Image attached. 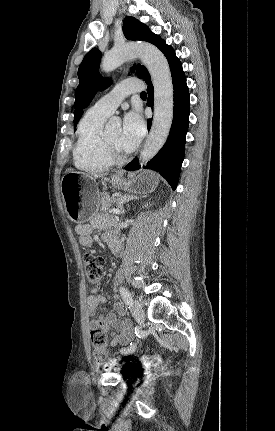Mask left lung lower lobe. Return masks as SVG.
Listing matches in <instances>:
<instances>
[{"label":"left lung lower lobe","mask_w":275,"mask_h":431,"mask_svg":"<svg viewBox=\"0 0 275 431\" xmlns=\"http://www.w3.org/2000/svg\"><path fill=\"white\" fill-rule=\"evenodd\" d=\"M172 76L174 88V116L169 137L157 153L150 160L145 169H151L159 172L175 190L180 175V167L182 165L185 153L186 134L189 124V90L186 84L185 73L182 69L180 60L176 57L175 51L170 47L165 54ZM148 87L147 105L153 107V85L149 80L146 81ZM151 127V120H148V129ZM138 159L135 158L128 165L126 170L139 169Z\"/></svg>","instance_id":"left-lung-lower-lobe-1"}]
</instances>
